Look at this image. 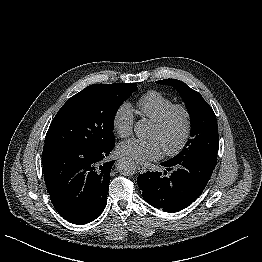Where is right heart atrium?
Listing matches in <instances>:
<instances>
[{"label": "right heart atrium", "instance_id": "obj_1", "mask_svg": "<svg viewBox=\"0 0 262 262\" xmlns=\"http://www.w3.org/2000/svg\"><path fill=\"white\" fill-rule=\"evenodd\" d=\"M134 112L129 104L120 105L112 118V128L116 135L121 138L130 136L134 128Z\"/></svg>", "mask_w": 262, "mask_h": 262}]
</instances>
